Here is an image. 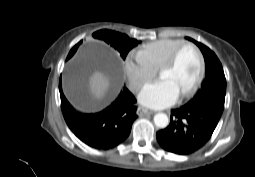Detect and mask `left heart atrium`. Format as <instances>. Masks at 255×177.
<instances>
[{"label": "left heart atrium", "instance_id": "obj_1", "mask_svg": "<svg viewBox=\"0 0 255 177\" xmlns=\"http://www.w3.org/2000/svg\"><path fill=\"white\" fill-rule=\"evenodd\" d=\"M180 96L175 86L165 78L147 83L139 93V102L147 107L161 109L174 104Z\"/></svg>", "mask_w": 255, "mask_h": 177}]
</instances>
